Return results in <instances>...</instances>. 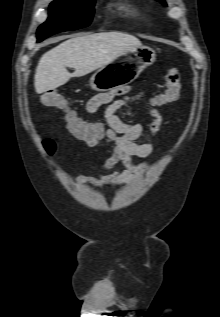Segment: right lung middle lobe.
I'll return each instance as SVG.
<instances>
[{
	"label": "right lung middle lobe",
	"instance_id": "right-lung-middle-lobe-1",
	"mask_svg": "<svg viewBox=\"0 0 220 317\" xmlns=\"http://www.w3.org/2000/svg\"><path fill=\"white\" fill-rule=\"evenodd\" d=\"M94 0H55L49 18L37 31L38 42L59 32L87 27L93 17Z\"/></svg>",
	"mask_w": 220,
	"mask_h": 317
}]
</instances>
